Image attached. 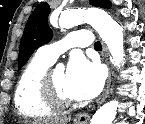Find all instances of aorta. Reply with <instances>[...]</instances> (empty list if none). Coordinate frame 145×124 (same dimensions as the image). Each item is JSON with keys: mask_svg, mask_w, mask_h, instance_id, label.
Returning a JSON list of instances; mask_svg holds the SVG:
<instances>
[{"mask_svg": "<svg viewBox=\"0 0 145 124\" xmlns=\"http://www.w3.org/2000/svg\"><path fill=\"white\" fill-rule=\"evenodd\" d=\"M88 22L98 32L107 45L114 66L120 68L124 57L123 29L112 17L100 9H77L63 13L59 23L73 27ZM64 68L63 65H59ZM119 102L114 100L106 103L93 115L90 124H112L117 114Z\"/></svg>", "mask_w": 145, "mask_h": 124, "instance_id": "762f6f07", "label": "aorta"}]
</instances>
